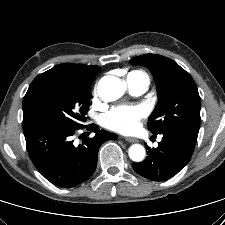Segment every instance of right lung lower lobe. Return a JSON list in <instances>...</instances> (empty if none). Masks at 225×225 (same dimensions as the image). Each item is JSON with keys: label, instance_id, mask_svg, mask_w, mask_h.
Instances as JSON below:
<instances>
[{"label": "right lung lower lobe", "instance_id": "obj_1", "mask_svg": "<svg viewBox=\"0 0 225 225\" xmlns=\"http://www.w3.org/2000/svg\"><path fill=\"white\" fill-rule=\"evenodd\" d=\"M23 132L29 156L37 170L51 183L70 188L86 181L94 172L99 147L117 135L89 126L96 135L78 147L73 135L78 129L60 122L32 118L23 120Z\"/></svg>", "mask_w": 225, "mask_h": 225}]
</instances>
